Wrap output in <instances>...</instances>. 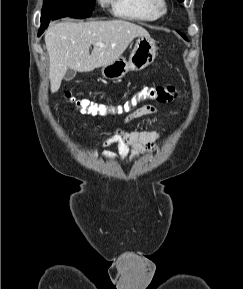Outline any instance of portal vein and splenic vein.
Wrapping results in <instances>:
<instances>
[{"label":"portal vein and splenic vein","mask_w":243,"mask_h":289,"mask_svg":"<svg viewBox=\"0 0 243 289\" xmlns=\"http://www.w3.org/2000/svg\"><path fill=\"white\" fill-rule=\"evenodd\" d=\"M96 45H97V46H101V47L104 46L102 43H98V44H96Z\"/></svg>","instance_id":"18ae733b"}]
</instances>
